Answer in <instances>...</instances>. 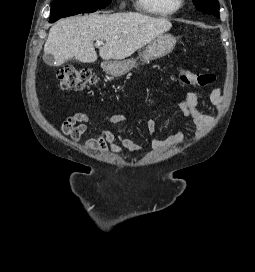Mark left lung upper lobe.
Returning a JSON list of instances; mask_svg holds the SVG:
<instances>
[{
  "mask_svg": "<svg viewBox=\"0 0 255 272\" xmlns=\"http://www.w3.org/2000/svg\"><path fill=\"white\" fill-rule=\"evenodd\" d=\"M198 11L212 14L219 18V2L218 0H193Z\"/></svg>",
  "mask_w": 255,
  "mask_h": 272,
  "instance_id": "5c2ea615",
  "label": "left lung upper lobe"
}]
</instances>
